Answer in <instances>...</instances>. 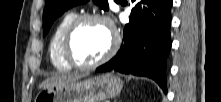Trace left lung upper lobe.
<instances>
[{
	"mask_svg": "<svg viewBox=\"0 0 221 102\" xmlns=\"http://www.w3.org/2000/svg\"><path fill=\"white\" fill-rule=\"evenodd\" d=\"M88 0H46L45 9L43 12V30L46 34L54 20L63 14L66 10L77 4L85 3ZM93 2L102 9L107 10V0H93Z\"/></svg>",
	"mask_w": 221,
	"mask_h": 102,
	"instance_id": "1",
	"label": "left lung upper lobe"
}]
</instances>
